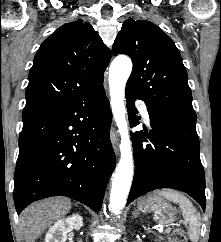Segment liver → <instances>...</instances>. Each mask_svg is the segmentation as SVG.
<instances>
[{
	"label": "liver",
	"mask_w": 221,
	"mask_h": 242,
	"mask_svg": "<svg viewBox=\"0 0 221 242\" xmlns=\"http://www.w3.org/2000/svg\"><path fill=\"white\" fill-rule=\"evenodd\" d=\"M71 209V201L55 197L27 207L20 217V228L25 242H35L41 234L59 217Z\"/></svg>",
	"instance_id": "1"
}]
</instances>
